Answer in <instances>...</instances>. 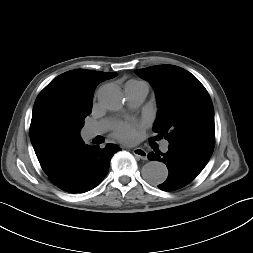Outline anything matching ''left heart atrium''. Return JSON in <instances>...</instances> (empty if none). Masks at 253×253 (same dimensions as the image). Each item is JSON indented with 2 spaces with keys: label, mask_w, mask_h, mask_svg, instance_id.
I'll list each match as a JSON object with an SVG mask.
<instances>
[{
  "label": "left heart atrium",
  "mask_w": 253,
  "mask_h": 253,
  "mask_svg": "<svg viewBox=\"0 0 253 253\" xmlns=\"http://www.w3.org/2000/svg\"><path fill=\"white\" fill-rule=\"evenodd\" d=\"M138 127L137 123L119 124L114 130V136L120 141L131 142L136 138Z\"/></svg>",
  "instance_id": "obj_1"
}]
</instances>
